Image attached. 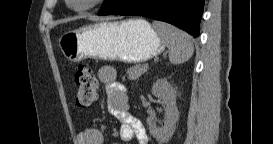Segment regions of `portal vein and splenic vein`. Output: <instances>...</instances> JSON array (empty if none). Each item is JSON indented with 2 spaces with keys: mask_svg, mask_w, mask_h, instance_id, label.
Returning a JSON list of instances; mask_svg holds the SVG:
<instances>
[{
  "mask_svg": "<svg viewBox=\"0 0 273 144\" xmlns=\"http://www.w3.org/2000/svg\"><path fill=\"white\" fill-rule=\"evenodd\" d=\"M144 68H146V69H147V68H148V64H145V65H144Z\"/></svg>",
  "mask_w": 273,
  "mask_h": 144,
  "instance_id": "obj_1",
  "label": "portal vein and splenic vein"
}]
</instances>
